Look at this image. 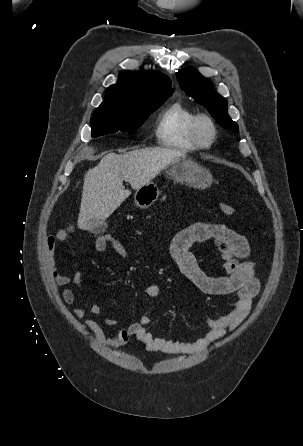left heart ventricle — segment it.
Wrapping results in <instances>:
<instances>
[{
	"label": "left heart ventricle",
	"instance_id": "obj_1",
	"mask_svg": "<svg viewBox=\"0 0 303 446\" xmlns=\"http://www.w3.org/2000/svg\"><path fill=\"white\" fill-rule=\"evenodd\" d=\"M200 133H201L202 138H203L205 141H208V140H209V138H210V129H209V127H208L207 125L203 124V125L200 127Z\"/></svg>",
	"mask_w": 303,
	"mask_h": 446
}]
</instances>
